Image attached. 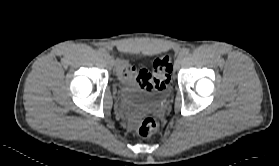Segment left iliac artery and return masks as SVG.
I'll use <instances>...</instances> for the list:
<instances>
[{"mask_svg":"<svg viewBox=\"0 0 279 166\" xmlns=\"http://www.w3.org/2000/svg\"><path fill=\"white\" fill-rule=\"evenodd\" d=\"M189 55V50L188 49H183L180 53L179 56L180 57H186Z\"/></svg>","mask_w":279,"mask_h":166,"instance_id":"1","label":"left iliac artery"}]
</instances>
